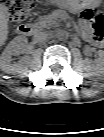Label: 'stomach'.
<instances>
[{
	"label": "stomach",
	"instance_id": "0dacf381",
	"mask_svg": "<svg viewBox=\"0 0 104 137\" xmlns=\"http://www.w3.org/2000/svg\"><path fill=\"white\" fill-rule=\"evenodd\" d=\"M85 0H56L58 5L69 8L71 10H76L83 8L85 6Z\"/></svg>",
	"mask_w": 104,
	"mask_h": 137
}]
</instances>
